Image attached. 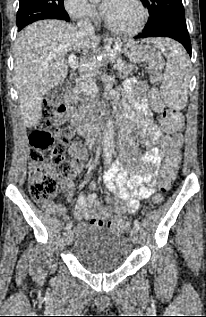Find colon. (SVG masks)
I'll return each mask as SVG.
<instances>
[{"instance_id":"1","label":"colon","mask_w":206,"mask_h":317,"mask_svg":"<svg viewBox=\"0 0 206 317\" xmlns=\"http://www.w3.org/2000/svg\"><path fill=\"white\" fill-rule=\"evenodd\" d=\"M146 66L152 73V81L159 83L163 61L160 56L154 55L146 61ZM64 105H45L43 117L36 129L29 136L31 146L29 163V192L36 201H48L57 192L58 181L52 174L56 167L60 175L70 178L78 171L75 160L65 157V148L72 138L68 127H63L65 121ZM161 125L169 133L177 132L184 127L183 115L173 109L162 108ZM181 162L179 151H173L166 159L160 174L159 187L162 192L169 190ZM161 197L153 199L158 204ZM110 228L117 231H126L129 223L126 219L116 217L108 222Z\"/></svg>"}]
</instances>
